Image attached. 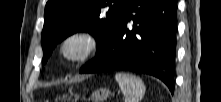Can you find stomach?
Segmentation results:
<instances>
[{
  "instance_id": "1",
  "label": "stomach",
  "mask_w": 221,
  "mask_h": 102,
  "mask_svg": "<svg viewBox=\"0 0 221 102\" xmlns=\"http://www.w3.org/2000/svg\"><path fill=\"white\" fill-rule=\"evenodd\" d=\"M110 95V91L106 88H101L96 90L92 93V100L93 102H103L106 100Z\"/></svg>"
}]
</instances>
